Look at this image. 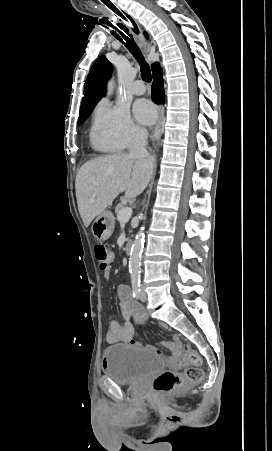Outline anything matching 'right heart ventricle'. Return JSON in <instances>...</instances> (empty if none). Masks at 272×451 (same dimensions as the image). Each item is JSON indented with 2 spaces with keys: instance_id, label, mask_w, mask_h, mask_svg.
Returning a JSON list of instances; mask_svg holds the SVG:
<instances>
[{
  "instance_id": "right-heart-ventricle-1",
  "label": "right heart ventricle",
  "mask_w": 272,
  "mask_h": 451,
  "mask_svg": "<svg viewBox=\"0 0 272 451\" xmlns=\"http://www.w3.org/2000/svg\"><path fill=\"white\" fill-rule=\"evenodd\" d=\"M93 142L98 148L103 149V150H108L109 151V150H113L115 148L112 145L100 143V142L96 141L95 138H94Z\"/></svg>"
}]
</instances>
